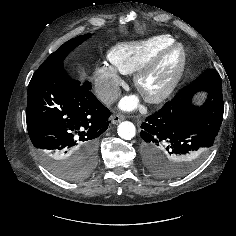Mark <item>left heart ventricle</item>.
<instances>
[{"label": "left heart ventricle", "mask_w": 236, "mask_h": 236, "mask_svg": "<svg viewBox=\"0 0 236 236\" xmlns=\"http://www.w3.org/2000/svg\"><path fill=\"white\" fill-rule=\"evenodd\" d=\"M176 64L177 58L175 54L164 58L156 69L144 79L145 89L150 92L161 90L172 78Z\"/></svg>", "instance_id": "left-heart-ventricle-1"}]
</instances>
